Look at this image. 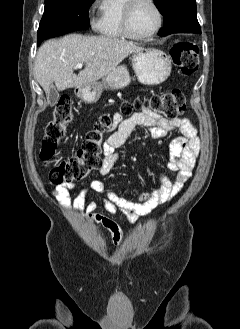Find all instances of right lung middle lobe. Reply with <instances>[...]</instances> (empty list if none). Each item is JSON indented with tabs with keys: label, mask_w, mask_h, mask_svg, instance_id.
<instances>
[{
	"label": "right lung middle lobe",
	"mask_w": 240,
	"mask_h": 329,
	"mask_svg": "<svg viewBox=\"0 0 240 329\" xmlns=\"http://www.w3.org/2000/svg\"><path fill=\"white\" fill-rule=\"evenodd\" d=\"M95 0H45L37 43L72 31L87 29L88 9Z\"/></svg>",
	"instance_id": "right-lung-middle-lobe-1"
}]
</instances>
